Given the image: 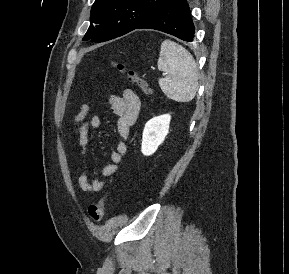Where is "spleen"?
<instances>
[{"label": "spleen", "instance_id": "1", "mask_svg": "<svg viewBox=\"0 0 289 274\" xmlns=\"http://www.w3.org/2000/svg\"><path fill=\"white\" fill-rule=\"evenodd\" d=\"M158 69L168 74L159 79L163 93L177 102L191 101L198 90V68L193 56L183 46L164 40L160 47Z\"/></svg>", "mask_w": 289, "mask_h": 274}]
</instances>
